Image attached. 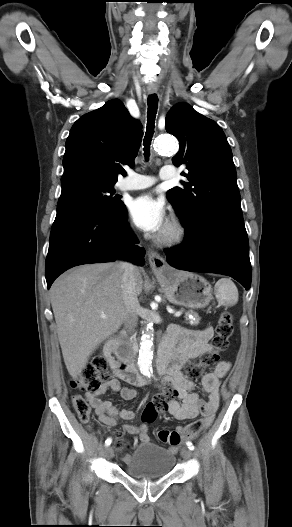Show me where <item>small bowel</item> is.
<instances>
[{"label": "small bowel", "instance_id": "small-bowel-1", "mask_svg": "<svg viewBox=\"0 0 292 527\" xmlns=\"http://www.w3.org/2000/svg\"><path fill=\"white\" fill-rule=\"evenodd\" d=\"M213 335L212 328L202 330H191L176 325L169 327L165 337V343L171 351L169 367L165 373L162 383V391L171 390L173 396L167 401V411L177 420L196 418L197 420L185 428L178 427L176 431H161L159 439L170 445L172 451H177L180 444L186 438H192L202 429L207 428L213 421L220 401V379L229 371L230 364L227 361L219 362L213 371L206 373L201 379L202 389L208 394L207 400H201L199 394L194 391V384L183 374V366L197 359L199 356L210 351L212 348L209 341ZM123 378L115 373L114 377L106 381L95 392H88L85 398L95 409L99 420L108 427H114L118 419L132 420L135 416L131 410L120 409L109 400H102L101 395L108 390L119 392L123 399L132 400L136 397V390L122 387L120 380ZM178 398L180 401H178ZM123 431L138 435L141 442H150L148 427L146 424L132 425L124 424Z\"/></svg>", "mask_w": 292, "mask_h": 527}]
</instances>
